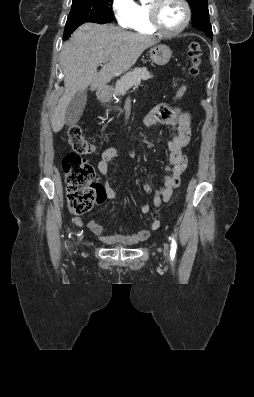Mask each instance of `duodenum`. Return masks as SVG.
Wrapping results in <instances>:
<instances>
[{
    "label": "duodenum",
    "instance_id": "duodenum-1",
    "mask_svg": "<svg viewBox=\"0 0 254 397\" xmlns=\"http://www.w3.org/2000/svg\"><path fill=\"white\" fill-rule=\"evenodd\" d=\"M103 93H104V90H101V91H100V94L102 95Z\"/></svg>",
    "mask_w": 254,
    "mask_h": 397
}]
</instances>
